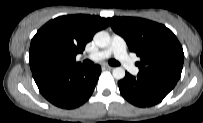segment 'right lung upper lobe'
<instances>
[{
    "mask_svg": "<svg viewBox=\"0 0 203 123\" xmlns=\"http://www.w3.org/2000/svg\"><path fill=\"white\" fill-rule=\"evenodd\" d=\"M108 25L107 20L100 16H60L50 20L37 31L31 40V46L41 42L56 44L64 52L65 66L79 65L80 63L75 61L76 55L83 52L85 45L97 31Z\"/></svg>",
    "mask_w": 203,
    "mask_h": 123,
    "instance_id": "cb5924a9",
    "label": "right lung upper lobe"
}]
</instances>
